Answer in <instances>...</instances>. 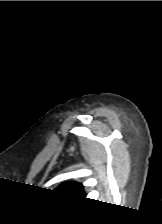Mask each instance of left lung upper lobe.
<instances>
[{"label": "left lung upper lobe", "mask_w": 162, "mask_h": 224, "mask_svg": "<svg viewBox=\"0 0 162 224\" xmlns=\"http://www.w3.org/2000/svg\"><path fill=\"white\" fill-rule=\"evenodd\" d=\"M56 192L74 197L85 198L86 194L83 191V185L77 182H67L55 189Z\"/></svg>", "instance_id": "left-lung-upper-lobe-1"}]
</instances>
